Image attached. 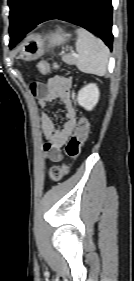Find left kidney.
Returning <instances> with one entry per match:
<instances>
[{"mask_svg":"<svg viewBox=\"0 0 134 281\" xmlns=\"http://www.w3.org/2000/svg\"><path fill=\"white\" fill-rule=\"evenodd\" d=\"M99 94L100 93L97 85L90 83L78 92L77 101L80 106L90 111L98 103Z\"/></svg>","mask_w":134,"mask_h":281,"instance_id":"1","label":"left kidney"}]
</instances>
